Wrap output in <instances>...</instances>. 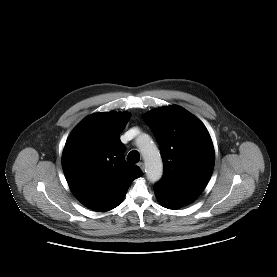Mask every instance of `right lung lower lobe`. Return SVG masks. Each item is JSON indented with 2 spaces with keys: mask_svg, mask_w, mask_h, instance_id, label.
I'll return each instance as SVG.
<instances>
[{
  "mask_svg": "<svg viewBox=\"0 0 277 277\" xmlns=\"http://www.w3.org/2000/svg\"><path fill=\"white\" fill-rule=\"evenodd\" d=\"M122 200H123V199H122ZM122 200L119 201L113 208H115L116 206H118V205L122 202ZM113 208H111V209H113Z\"/></svg>",
  "mask_w": 277,
  "mask_h": 277,
  "instance_id": "right-lung-lower-lobe-1",
  "label": "right lung lower lobe"
}]
</instances>
